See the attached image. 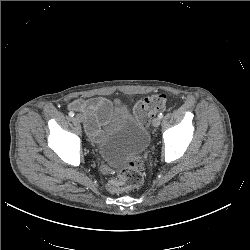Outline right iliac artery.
Returning <instances> with one entry per match:
<instances>
[{"mask_svg": "<svg viewBox=\"0 0 250 250\" xmlns=\"http://www.w3.org/2000/svg\"><path fill=\"white\" fill-rule=\"evenodd\" d=\"M69 116L73 117V116H74V112H73V111H70V112H69Z\"/></svg>", "mask_w": 250, "mask_h": 250, "instance_id": "1", "label": "right iliac artery"}]
</instances>
